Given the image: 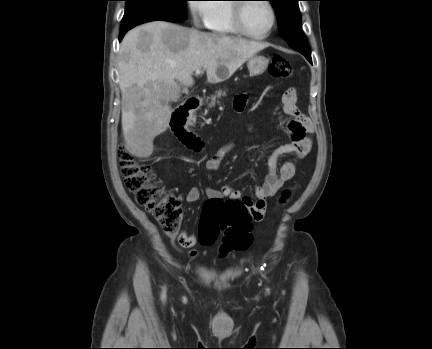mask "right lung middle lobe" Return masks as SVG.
Here are the masks:
<instances>
[{"label": "right lung middle lobe", "mask_w": 432, "mask_h": 349, "mask_svg": "<svg viewBox=\"0 0 432 349\" xmlns=\"http://www.w3.org/2000/svg\"><path fill=\"white\" fill-rule=\"evenodd\" d=\"M125 13L121 21V30L131 29L136 25L163 20L182 22L186 19L188 0H125Z\"/></svg>", "instance_id": "obj_1"}]
</instances>
